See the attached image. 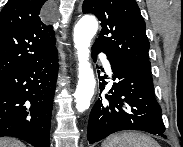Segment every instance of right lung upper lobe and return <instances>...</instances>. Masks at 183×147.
I'll return each instance as SVG.
<instances>
[{
    "label": "right lung upper lobe",
    "instance_id": "right-lung-upper-lobe-1",
    "mask_svg": "<svg viewBox=\"0 0 183 147\" xmlns=\"http://www.w3.org/2000/svg\"><path fill=\"white\" fill-rule=\"evenodd\" d=\"M45 0H9L0 13V75L56 52L51 25L40 19Z\"/></svg>",
    "mask_w": 183,
    "mask_h": 147
}]
</instances>
